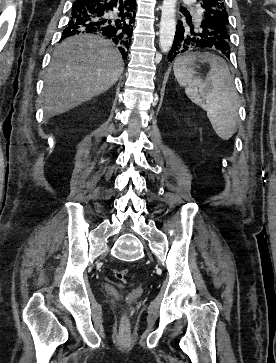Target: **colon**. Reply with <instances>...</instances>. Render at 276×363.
Wrapping results in <instances>:
<instances>
[{
	"mask_svg": "<svg viewBox=\"0 0 276 363\" xmlns=\"http://www.w3.org/2000/svg\"><path fill=\"white\" fill-rule=\"evenodd\" d=\"M113 273L117 280H119L121 282H125V279L128 275V270L127 269H115ZM122 324L123 325L126 324V319L122 320Z\"/></svg>",
	"mask_w": 276,
	"mask_h": 363,
	"instance_id": "obj_1",
	"label": "colon"
}]
</instances>
